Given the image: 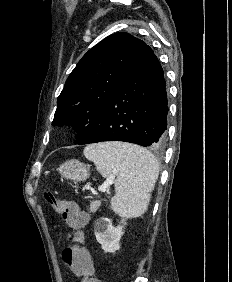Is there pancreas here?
Wrapping results in <instances>:
<instances>
[{
	"mask_svg": "<svg viewBox=\"0 0 232 282\" xmlns=\"http://www.w3.org/2000/svg\"><path fill=\"white\" fill-rule=\"evenodd\" d=\"M99 206H100L99 200L92 201L89 206L90 212H96Z\"/></svg>",
	"mask_w": 232,
	"mask_h": 282,
	"instance_id": "obj_1",
	"label": "pancreas"
}]
</instances>
